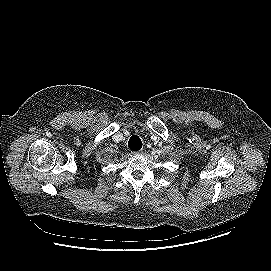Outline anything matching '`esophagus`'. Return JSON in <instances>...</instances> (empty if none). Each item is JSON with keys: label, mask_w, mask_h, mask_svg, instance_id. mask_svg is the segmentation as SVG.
I'll list each match as a JSON object with an SVG mask.
<instances>
[{"label": "esophagus", "mask_w": 271, "mask_h": 271, "mask_svg": "<svg viewBox=\"0 0 271 271\" xmlns=\"http://www.w3.org/2000/svg\"><path fill=\"white\" fill-rule=\"evenodd\" d=\"M133 155L141 154V151L132 152Z\"/></svg>", "instance_id": "1"}]
</instances>
